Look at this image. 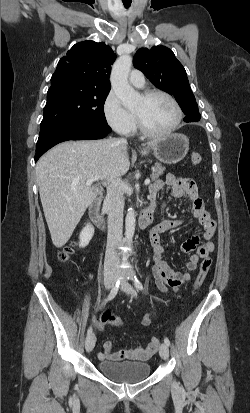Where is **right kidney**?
<instances>
[{
    "mask_svg": "<svg viewBox=\"0 0 250 413\" xmlns=\"http://www.w3.org/2000/svg\"><path fill=\"white\" fill-rule=\"evenodd\" d=\"M94 235V227L88 223L80 233V247H85L89 244Z\"/></svg>",
    "mask_w": 250,
    "mask_h": 413,
    "instance_id": "ca27d5eb",
    "label": "right kidney"
}]
</instances>
